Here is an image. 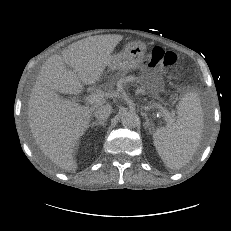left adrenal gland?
<instances>
[{
    "instance_id": "a2214340",
    "label": "left adrenal gland",
    "mask_w": 231,
    "mask_h": 231,
    "mask_svg": "<svg viewBox=\"0 0 231 231\" xmlns=\"http://www.w3.org/2000/svg\"><path fill=\"white\" fill-rule=\"evenodd\" d=\"M142 116L145 118V129L149 131V133H152V127L153 124L151 121H149L146 113H142Z\"/></svg>"
}]
</instances>
